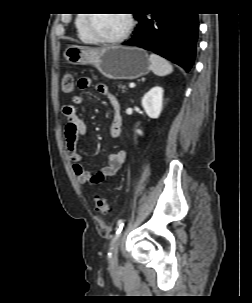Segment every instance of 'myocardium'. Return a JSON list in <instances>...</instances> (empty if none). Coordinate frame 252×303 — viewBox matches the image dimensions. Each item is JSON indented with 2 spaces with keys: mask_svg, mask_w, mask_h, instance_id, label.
I'll return each mask as SVG.
<instances>
[{
  "mask_svg": "<svg viewBox=\"0 0 252 303\" xmlns=\"http://www.w3.org/2000/svg\"><path fill=\"white\" fill-rule=\"evenodd\" d=\"M126 16H127L128 23H127L125 30L120 34H118L116 36H111V37L101 36L99 34L93 33L90 28L92 16H87L86 17V29L90 35V39L102 41L105 43H116V42H120V41L126 39L129 36V34L131 33V31L134 27V24H135V18H134L133 13L128 12V13H126Z\"/></svg>",
  "mask_w": 252,
  "mask_h": 303,
  "instance_id": "f54148a6",
  "label": "myocardium"
}]
</instances>
